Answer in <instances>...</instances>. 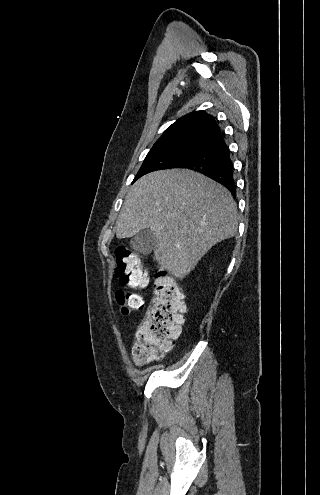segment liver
Wrapping results in <instances>:
<instances>
[{"label":"liver","instance_id":"liver-1","mask_svg":"<svg viewBox=\"0 0 320 495\" xmlns=\"http://www.w3.org/2000/svg\"><path fill=\"white\" fill-rule=\"evenodd\" d=\"M237 204L230 191L187 169L149 173L126 195L116 227L118 239L150 228L156 236L154 259L183 279L215 244L238 228Z\"/></svg>","mask_w":320,"mask_h":495}]
</instances>
